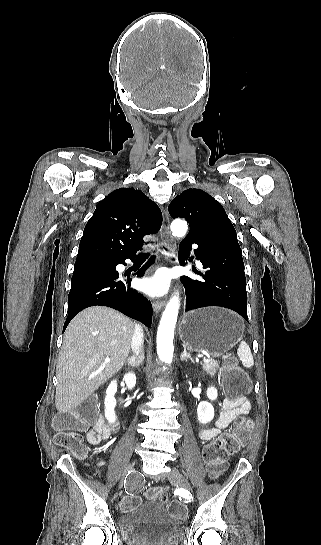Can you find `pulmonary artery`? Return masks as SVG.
<instances>
[{"instance_id":"1","label":"pulmonary artery","mask_w":321,"mask_h":545,"mask_svg":"<svg viewBox=\"0 0 321 545\" xmlns=\"http://www.w3.org/2000/svg\"><path fill=\"white\" fill-rule=\"evenodd\" d=\"M196 264H197V266H199V267H201V265H202L201 262H200L199 260H196Z\"/></svg>"}]
</instances>
